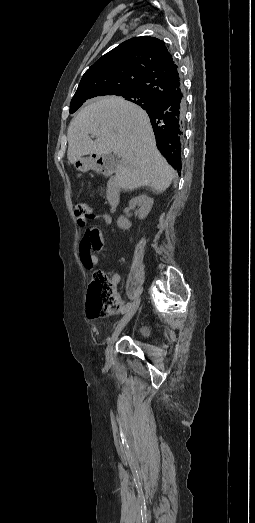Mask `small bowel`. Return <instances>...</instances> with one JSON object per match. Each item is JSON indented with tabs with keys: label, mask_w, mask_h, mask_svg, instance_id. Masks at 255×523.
<instances>
[{
	"label": "small bowel",
	"mask_w": 255,
	"mask_h": 523,
	"mask_svg": "<svg viewBox=\"0 0 255 523\" xmlns=\"http://www.w3.org/2000/svg\"><path fill=\"white\" fill-rule=\"evenodd\" d=\"M93 219L106 224L111 223L110 216L106 214L94 215ZM102 247L103 241L99 228L96 226L87 227L83 234L79 247L80 260L87 269L91 270L95 265L98 264V253L102 250ZM120 281V274L113 273L111 276L112 284L116 286L120 283Z\"/></svg>",
	"instance_id": "c3829d8e"
}]
</instances>
